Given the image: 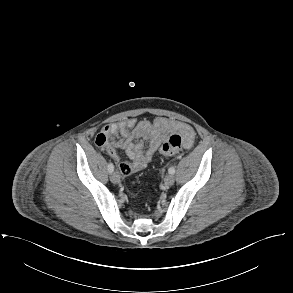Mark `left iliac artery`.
<instances>
[{
    "instance_id": "left-iliac-artery-1",
    "label": "left iliac artery",
    "mask_w": 293,
    "mask_h": 293,
    "mask_svg": "<svg viewBox=\"0 0 293 293\" xmlns=\"http://www.w3.org/2000/svg\"><path fill=\"white\" fill-rule=\"evenodd\" d=\"M168 173L171 174V175H173V174L175 173V168L170 167V168L168 169Z\"/></svg>"
}]
</instances>
